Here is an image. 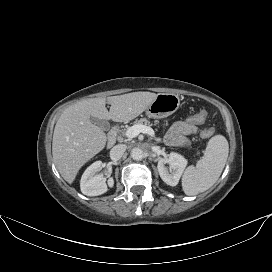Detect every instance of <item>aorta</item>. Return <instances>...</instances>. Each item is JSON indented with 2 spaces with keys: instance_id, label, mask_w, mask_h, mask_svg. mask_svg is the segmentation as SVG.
Wrapping results in <instances>:
<instances>
[{
  "instance_id": "1",
  "label": "aorta",
  "mask_w": 272,
  "mask_h": 272,
  "mask_svg": "<svg viewBox=\"0 0 272 272\" xmlns=\"http://www.w3.org/2000/svg\"><path fill=\"white\" fill-rule=\"evenodd\" d=\"M130 155L134 160H142L144 158V152L139 148L132 149Z\"/></svg>"
}]
</instances>
